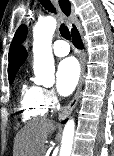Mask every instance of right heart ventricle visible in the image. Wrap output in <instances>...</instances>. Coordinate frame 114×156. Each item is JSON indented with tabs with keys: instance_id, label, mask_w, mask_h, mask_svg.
Here are the masks:
<instances>
[{
	"instance_id": "right-heart-ventricle-1",
	"label": "right heart ventricle",
	"mask_w": 114,
	"mask_h": 156,
	"mask_svg": "<svg viewBox=\"0 0 114 156\" xmlns=\"http://www.w3.org/2000/svg\"><path fill=\"white\" fill-rule=\"evenodd\" d=\"M19 108L24 121L45 116L48 105L43 99V88L23 80L20 85Z\"/></svg>"
}]
</instances>
